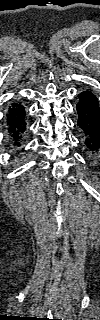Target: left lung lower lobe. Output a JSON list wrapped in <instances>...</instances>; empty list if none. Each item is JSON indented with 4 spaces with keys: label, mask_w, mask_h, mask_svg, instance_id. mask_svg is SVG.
<instances>
[{
    "label": "left lung lower lobe",
    "mask_w": 100,
    "mask_h": 320,
    "mask_svg": "<svg viewBox=\"0 0 100 320\" xmlns=\"http://www.w3.org/2000/svg\"><path fill=\"white\" fill-rule=\"evenodd\" d=\"M78 98L77 125L82 131L84 143L91 157L96 159L100 156V105L90 91L78 94Z\"/></svg>",
    "instance_id": "1"
}]
</instances>
